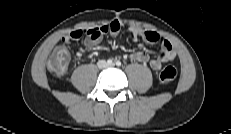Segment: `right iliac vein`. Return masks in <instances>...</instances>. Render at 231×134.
Instances as JSON below:
<instances>
[{"instance_id": "63e3f726", "label": "right iliac vein", "mask_w": 231, "mask_h": 134, "mask_svg": "<svg viewBox=\"0 0 231 134\" xmlns=\"http://www.w3.org/2000/svg\"><path fill=\"white\" fill-rule=\"evenodd\" d=\"M99 66H100V67H105V63H104L103 61H101V62L99 63Z\"/></svg>"}]
</instances>
